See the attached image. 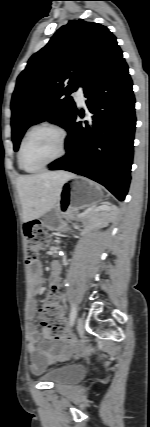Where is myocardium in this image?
<instances>
[{"label": "myocardium", "instance_id": "f54148a6", "mask_svg": "<svg viewBox=\"0 0 150 427\" xmlns=\"http://www.w3.org/2000/svg\"><path fill=\"white\" fill-rule=\"evenodd\" d=\"M40 130H49V131H52L58 135L59 144H60L59 152L53 159H51L47 163L43 164L39 168L34 169V170H29L23 164L24 148H25V145H26L27 141L29 140V138L34 133H36L37 131H40ZM66 148H67V135H66V132L64 131L63 128H61L57 125H53V124H39L37 126H34L32 129H30V131L25 135V137L23 138V140L21 142V145L19 148V153H18L19 165L24 171L29 172V173H35V172L42 171L43 169L47 168L51 164H53L56 161H58L59 159H61L66 153Z\"/></svg>", "mask_w": 150, "mask_h": 427}]
</instances>
